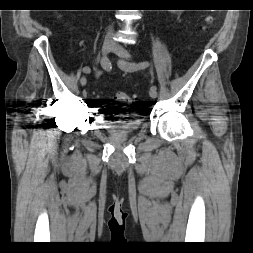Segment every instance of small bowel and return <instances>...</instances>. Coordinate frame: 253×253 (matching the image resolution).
Segmentation results:
<instances>
[{
    "instance_id": "1",
    "label": "small bowel",
    "mask_w": 253,
    "mask_h": 253,
    "mask_svg": "<svg viewBox=\"0 0 253 253\" xmlns=\"http://www.w3.org/2000/svg\"><path fill=\"white\" fill-rule=\"evenodd\" d=\"M84 72H85V73H89V72H90V69H89V68H85V69H84ZM101 72H102L101 70H98V71L95 72V75H96V76H100V75H101Z\"/></svg>"
}]
</instances>
